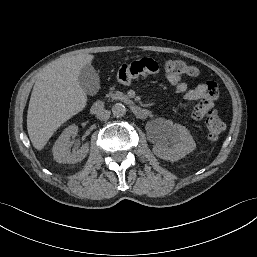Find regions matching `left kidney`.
Here are the masks:
<instances>
[{
	"label": "left kidney",
	"mask_w": 257,
	"mask_h": 257,
	"mask_svg": "<svg viewBox=\"0 0 257 257\" xmlns=\"http://www.w3.org/2000/svg\"><path fill=\"white\" fill-rule=\"evenodd\" d=\"M195 148L196 143L184 126L167 122L157 136L153 152L164 160L176 161Z\"/></svg>",
	"instance_id": "left-kidney-1"
}]
</instances>
